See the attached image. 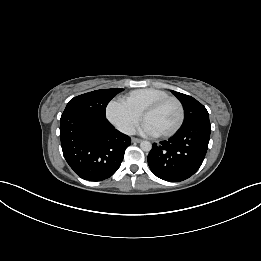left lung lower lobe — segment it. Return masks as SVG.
I'll list each match as a JSON object with an SVG mask.
<instances>
[{"mask_svg": "<svg viewBox=\"0 0 261 261\" xmlns=\"http://www.w3.org/2000/svg\"><path fill=\"white\" fill-rule=\"evenodd\" d=\"M210 132V122L200 121L182 126L159 145L154 143L148 155V165L153 174L171 182L191 177L204 160Z\"/></svg>", "mask_w": 261, "mask_h": 261, "instance_id": "obj_1", "label": "left lung lower lobe"}]
</instances>
